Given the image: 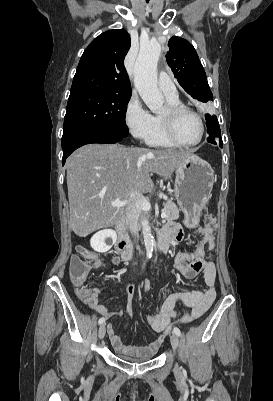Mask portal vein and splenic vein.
I'll return each instance as SVG.
<instances>
[{
  "label": "portal vein and splenic vein",
  "mask_w": 273,
  "mask_h": 401,
  "mask_svg": "<svg viewBox=\"0 0 273 401\" xmlns=\"http://www.w3.org/2000/svg\"><path fill=\"white\" fill-rule=\"evenodd\" d=\"M128 201H114V203H111V207H125V205H127ZM161 212V219H165L166 215H165V209L161 208L160 209Z\"/></svg>",
  "instance_id": "1"
}]
</instances>
